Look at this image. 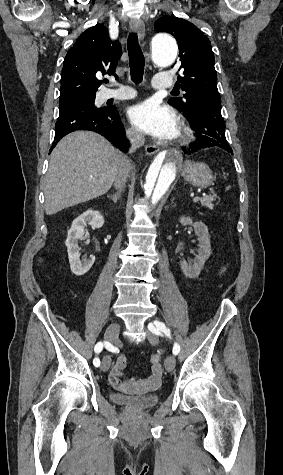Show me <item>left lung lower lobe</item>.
Returning a JSON list of instances; mask_svg holds the SVG:
<instances>
[{"label":"left lung lower lobe","mask_w":283,"mask_h":475,"mask_svg":"<svg viewBox=\"0 0 283 475\" xmlns=\"http://www.w3.org/2000/svg\"><path fill=\"white\" fill-rule=\"evenodd\" d=\"M187 118L191 122L197 139L187 149L183 148L184 153L190 155L203 148L213 146L232 153L225 137V122L221 115V102L203 101L196 106L192 115Z\"/></svg>","instance_id":"1"}]
</instances>
